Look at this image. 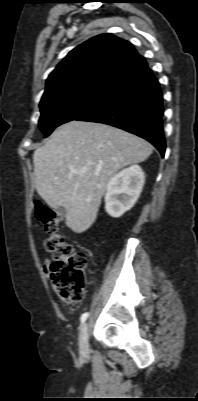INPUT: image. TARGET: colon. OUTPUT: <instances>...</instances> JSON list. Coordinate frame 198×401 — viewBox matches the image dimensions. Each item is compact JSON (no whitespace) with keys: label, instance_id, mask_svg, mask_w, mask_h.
I'll return each instance as SVG.
<instances>
[{"label":"colon","instance_id":"colon-1","mask_svg":"<svg viewBox=\"0 0 198 401\" xmlns=\"http://www.w3.org/2000/svg\"><path fill=\"white\" fill-rule=\"evenodd\" d=\"M35 215L49 234L44 246L54 260L50 276L55 292L66 303L81 302L87 285L86 256L76 251L60 234L61 217L53 209L37 202Z\"/></svg>","mask_w":198,"mask_h":401}]
</instances>
